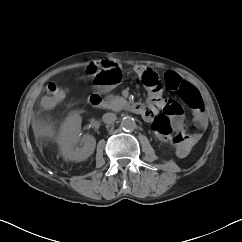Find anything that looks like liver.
Returning a JSON list of instances; mask_svg holds the SVG:
<instances>
[{
	"label": "liver",
	"mask_w": 242,
	"mask_h": 242,
	"mask_svg": "<svg viewBox=\"0 0 242 242\" xmlns=\"http://www.w3.org/2000/svg\"><path fill=\"white\" fill-rule=\"evenodd\" d=\"M32 128L36 137L44 136V137H53L54 136V129L53 126L48 125L44 122H38L33 120Z\"/></svg>",
	"instance_id": "1"
}]
</instances>
